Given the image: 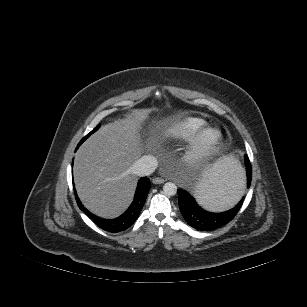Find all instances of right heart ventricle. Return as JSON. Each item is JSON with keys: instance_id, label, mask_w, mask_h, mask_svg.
I'll return each instance as SVG.
<instances>
[{"instance_id": "e07e8e85", "label": "right heart ventricle", "mask_w": 307, "mask_h": 307, "mask_svg": "<svg viewBox=\"0 0 307 307\" xmlns=\"http://www.w3.org/2000/svg\"><path fill=\"white\" fill-rule=\"evenodd\" d=\"M206 121L201 118L188 117L174 122L164 133L167 137L188 139L204 129Z\"/></svg>"}]
</instances>
